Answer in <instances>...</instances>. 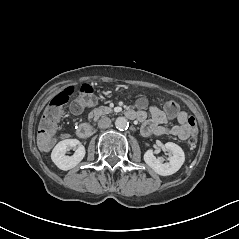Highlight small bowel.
I'll return each instance as SVG.
<instances>
[{
  "label": "small bowel",
  "mask_w": 239,
  "mask_h": 239,
  "mask_svg": "<svg viewBox=\"0 0 239 239\" xmlns=\"http://www.w3.org/2000/svg\"><path fill=\"white\" fill-rule=\"evenodd\" d=\"M136 110L130 109L128 112L133 114V118H137L142 123V134L144 136H166L178 137L181 140L188 139L193 130L188 125V114L185 111H180L174 116H169L163 112L157 105H149L145 98H140L136 102ZM146 109L150 114L148 119ZM176 118L178 124L171 127L166 126L170 119ZM52 143H50L51 145ZM50 145L45 146L49 148Z\"/></svg>",
  "instance_id": "c3829d8e"
}]
</instances>
